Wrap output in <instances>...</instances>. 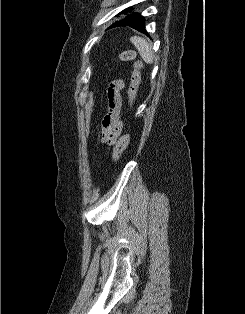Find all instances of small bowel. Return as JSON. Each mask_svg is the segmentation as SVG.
<instances>
[{
    "label": "small bowel",
    "mask_w": 245,
    "mask_h": 314,
    "mask_svg": "<svg viewBox=\"0 0 245 314\" xmlns=\"http://www.w3.org/2000/svg\"><path fill=\"white\" fill-rule=\"evenodd\" d=\"M124 83L117 79L110 83L107 89L109 111L104 116L101 126V140L107 144H114L122 131L121 95Z\"/></svg>",
    "instance_id": "c3829d8e"
}]
</instances>
